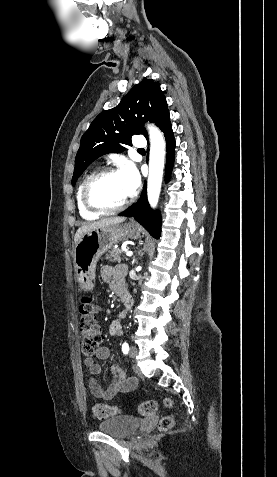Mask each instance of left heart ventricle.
Wrapping results in <instances>:
<instances>
[{
    "label": "left heart ventricle",
    "mask_w": 277,
    "mask_h": 477,
    "mask_svg": "<svg viewBox=\"0 0 277 477\" xmlns=\"http://www.w3.org/2000/svg\"><path fill=\"white\" fill-rule=\"evenodd\" d=\"M95 202L108 207L121 204L128 198L119 173L101 179L92 190Z\"/></svg>",
    "instance_id": "1"
}]
</instances>
